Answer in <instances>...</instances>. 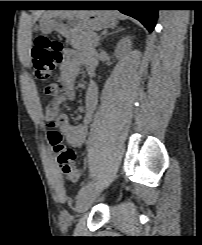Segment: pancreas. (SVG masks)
Here are the masks:
<instances>
[{
	"mask_svg": "<svg viewBox=\"0 0 202 245\" xmlns=\"http://www.w3.org/2000/svg\"><path fill=\"white\" fill-rule=\"evenodd\" d=\"M97 35L93 31H84L74 38L70 39V44L73 48L79 51H85L97 46L95 42Z\"/></svg>",
	"mask_w": 202,
	"mask_h": 245,
	"instance_id": "obj_1",
	"label": "pancreas"
}]
</instances>
